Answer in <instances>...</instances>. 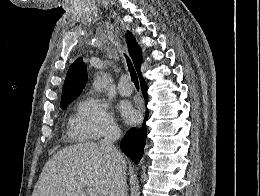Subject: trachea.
Returning a JSON list of instances; mask_svg holds the SVG:
<instances>
[{"mask_svg":"<svg viewBox=\"0 0 260 196\" xmlns=\"http://www.w3.org/2000/svg\"><path fill=\"white\" fill-rule=\"evenodd\" d=\"M124 56L126 58V62H127V65H128L130 76H131V80L133 81L135 86H139V81H138L136 70H135L130 58L125 54H124Z\"/></svg>","mask_w":260,"mask_h":196,"instance_id":"3493384b","label":"trachea"}]
</instances>
